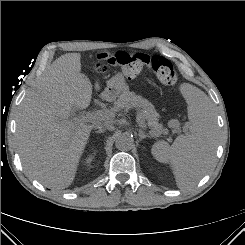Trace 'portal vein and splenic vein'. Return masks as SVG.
<instances>
[{
  "label": "portal vein and splenic vein",
  "mask_w": 245,
  "mask_h": 245,
  "mask_svg": "<svg viewBox=\"0 0 245 245\" xmlns=\"http://www.w3.org/2000/svg\"><path fill=\"white\" fill-rule=\"evenodd\" d=\"M110 116H112V114L109 111L98 110L96 112H87L85 116H81L75 119H81V120L88 121V122H94L97 120L109 119ZM136 121L139 124V126L145 127V119L140 114H137Z\"/></svg>",
  "instance_id": "obj_1"
}]
</instances>
